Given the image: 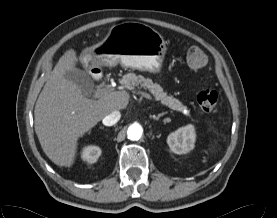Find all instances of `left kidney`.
I'll return each instance as SVG.
<instances>
[{
	"label": "left kidney",
	"mask_w": 277,
	"mask_h": 218,
	"mask_svg": "<svg viewBox=\"0 0 277 218\" xmlns=\"http://www.w3.org/2000/svg\"><path fill=\"white\" fill-rule=\"evenodd\" d=\"M195 138V128L189 124L169 134L167 144L173 153L186 154L194 148Z\"/></svg>",
	"instance_id": "obj_1"
}]
</instances>
